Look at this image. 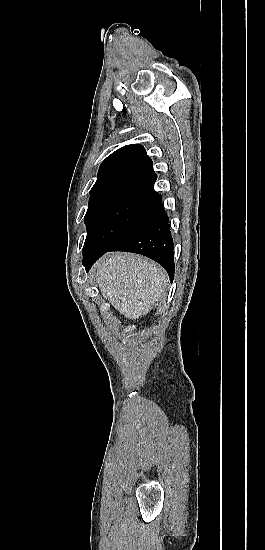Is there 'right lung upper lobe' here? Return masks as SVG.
I'll use <instances>...</instances> for the list:
<instances>
[{
	"mask_svg": "<svg viewBox=\"0 0 265 550\" xmlns=\"http://www.w3.org/2000/svg\"><path fill=\"white\" fill-rule=\"evenodd\" d=\"M156 178L143 146L126 145L102 162L90 198L117 189L153 187Z\"/></svg>",
	"mask_w": 265,
	"mask_h": 550,
	"instance_id": "obj_1",
	"label": "right lung upper lobe"
}]
</instances>
